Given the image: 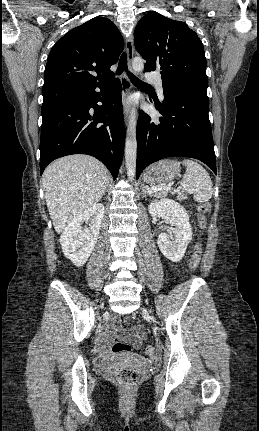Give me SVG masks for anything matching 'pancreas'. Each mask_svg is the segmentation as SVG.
Masks as SVG:
<instances>
[{"mask_svg": "<svg viewBox=\"0 0 259 431\" xmlns=\"http://www.w3.org/2000/svg\"><path fill=\"white\" fill-rule=\"evenodd\" d=\"M169 192V189L168 190H160V191H158V192H155L154 193V196L156 197V198H163V197H165L166 195H167V193ZM186 198V197H185Z\"/></svg>", "mask_w": 259, "mask_h": 431, "instance_id": "pancreas-1", "label": "pancreas"}]
</instances>
